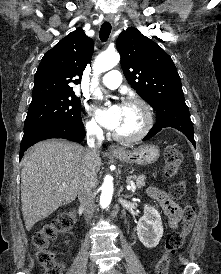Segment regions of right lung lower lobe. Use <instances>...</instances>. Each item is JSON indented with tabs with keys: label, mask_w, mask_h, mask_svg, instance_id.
<instances>
[{
	"label": "right lung lower lobe",
	"mask_w": 221,
	"mask_h": 274,
	"mask_svg": "<svg viewBox=\"0 0 221 274\" xmlns=\"http://www.w3.org/2000/svg\"><path fill=\"white\" fill-rule=\"evenodd\" d=\"M50 138H63L76 142L81 141L85 138L84 126L49 122L24 129V135L20 145V159L29 147L41 140Z\"/></svg>",
	"instance_id": "obj_1"
}]
</instances>
